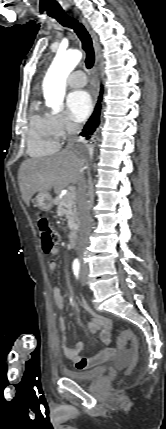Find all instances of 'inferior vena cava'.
Wrapping results in <instances>:
<instances>
[{
  "instance_id": "602c4592",
  "label": "inferior vena cava",
  "mask_w": 166,
  "mask_h": 429,
  "mask_svg": "<svg viewBox=\"0 0 166 429\" xmlns=\"http://www.w3.org/2000/svg\"><path fill=\"white\" fill-rule=\"evenodd\" d=\"M80 125L69 122L67 124V132L69 134L68 143L66 150H73L74 144L77 141L76 135L80 132ZM77 205H78V216H79V237L76 247V253L81 259L83 253L86 250L88 238L90 235L91 228V216H90V203L87 182L82 170L79 181L77 183Z\"/></svg>"
}]
</instances>
